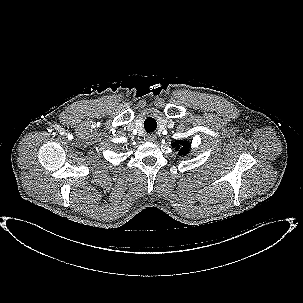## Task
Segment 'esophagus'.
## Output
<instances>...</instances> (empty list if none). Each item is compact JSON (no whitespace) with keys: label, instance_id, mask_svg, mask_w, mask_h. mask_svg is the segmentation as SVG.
I'll use <instances>...</instances> for the list:
<instances>
[{"label":"esophagus","instance_id":"34e87169","mask_svg":"<svg viewBox=\"0 0 303 303\" xmlns=\"http://www.w3.org/2000/svg\"><path fill=\"white\" fill-rule=\"evenodd\" d=\"M147 140L150 142H154L156 140V136L154 134H148Z\"/></svg>","mask_w":303,"mask_h":303}]
</instances>
